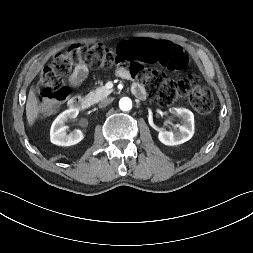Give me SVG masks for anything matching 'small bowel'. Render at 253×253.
Listing matches in <instances>:
<instances>
[{"instance_id": "c3829d8e", "label": "small bowel", "mask_w": 253, "mask_h": 253, "mask_svg": "<svg viewBox=\"0 0 253 253\" xmlns=\"http://www.w3.org/2000/svg\"><path fill=\"white\" fill-rule=\"evenodd\" d=\"M138 41H140V40H138ZM170 43H172V42H170ZM138 64H141V63H138ZM116 73L119 77L125 78V79H128L131 76V74L128 70H126L124 68H120V67L117 69ZM87 74H88V69L85 65H83V64L76 65V67L74 68V71L70 77L71 85L74 87L79 86L86 79ZM137 90L141 91L142 94L144 95V88L141 85L136 84L134 86L135 93Z\"/></svg>"}]
</instances>
